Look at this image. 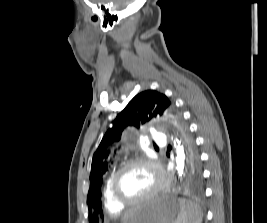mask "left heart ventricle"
<instances>
[{"mask_svg": "<svg viewBox=\"0 0 267 223\" xmlns=\"http://www.w3.org/2000/svg\"><path fill=\"white\" fill-rule=\"evenodd\" d=\"M156 185V175L146 165H134L126 169L118 179L117 189L126 200H136L150 192Z\"/></svg>", "mask_w": 267, "mask_h": 223, "instance_id": "1", "label": "left heart ventricle"}]
</instances>
